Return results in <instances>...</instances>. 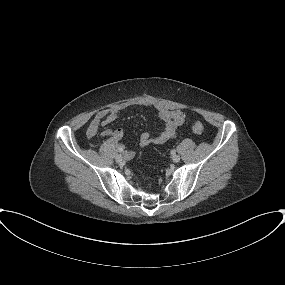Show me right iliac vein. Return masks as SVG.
<instances>
[{"mask_svg":"<svg viewBox=\"0 0 285 285\" xmlns=\"http://www.w3.org/2000/svg\"><path fill=\"white\" fill-rule=\"evenodd\" d=\"M128 158H130V157L126 153H124L123 156L117 155L115 157V160H116V162L121 163L124 159H128Z\"/></svg>","mask_w":285,"mask_h":285,"instance_id":"obj_1","label":"right iliac vein"}]
</instances>
